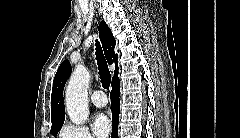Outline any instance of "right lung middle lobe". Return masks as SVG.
<instances>
[{"label":"right lung middle lobe","instance_id":"dd1d6c3e","mask_svg":"<svg viewBox=\"0 0 240 138\" xmlns=\"http://www.w3.org/2000/svg\"><path fill=\"white\" fill-rule=\"evenodd\" d=\"M61 126H62V124L51 127V132H52V134H53L54 136L57 135V133H58L59 129L61 128Z\"/></svg>","mask_w":240,"mask_h":138}]
</instances>
